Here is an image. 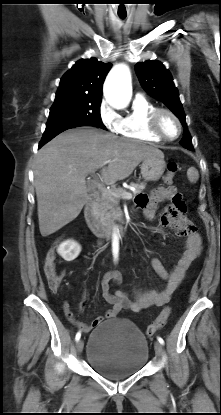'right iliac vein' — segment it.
Masks as SVG:
<instances>
[{
  "label": "right iliac vein",
  "mask_w": 221,
  "mask_h": 415,
  "mask_svg": "<svg viewBox=\"0 0 221 415\" xmlns=\"http://www.w3.org/2000/svg\"><path fill=\"white\" fill-rule=\"evenodd\" d=\"M83 348H84V342L82 339H80L77 341V344H76L77 352L81 353L83 351Z\"/></svg>",
  "instance_id": "obj_1"
}]
</instances>
